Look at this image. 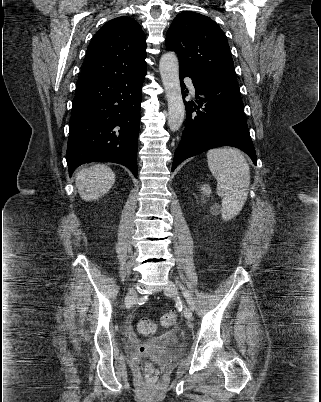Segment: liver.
Masks as SVG:
<instances>
[{
  "label": "liver",
  "mask_w": 321,
  "mask_h": 402,
  "mask_svg": "<svg viewBox=\"0 0 321 402\" xmlns=\"http://www.w3.org/2000/svg\"><path fill=\"white\" fill-rule=\"evenodd\" d=\"M114 183V172L103 164L83 168L76 175V186L81 198L85 201L100 198L112 188Z\"/></svg>",
  "instance_id": "1"
}]
</instances>
